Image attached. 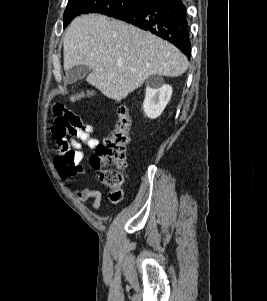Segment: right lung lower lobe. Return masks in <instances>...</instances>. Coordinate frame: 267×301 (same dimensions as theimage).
Instances as JSON below:
<instances>
[{"label": "right lung lower lobe", "mask_w": 267, "mask_h": 301, "mask_svg": "<svg viewBox=\"0 0 267 301\" xmlns=\"http://www.w3.org/2000/svg\"><path fill=\"white\" fill-rule=\"evenodd\" d=\"M114 18L162 37L190 58V32L186 9L181 0H151Z\"/></svg>", "instance_id": "1"}]
</instances>
